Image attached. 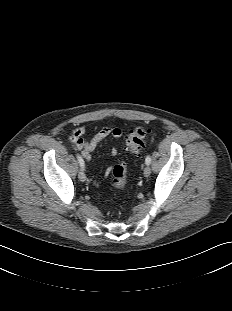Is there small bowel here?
I'll return each instance as SVG.
<instances>
[{
    "label": "small bowel",
    "instance_id": "small-bowel-1",
    "mask_svg": "<svg viewBox=\"0 0 232 311\" xmlns=\"http://www.w3.org/2000/svg\"><path fill=\"white\" fill-rule=\"evenodd\" d=\"M85 131L86 129L84 126L75 128L70 133L68 140L76 150L81 152L87 161L91 160V152L98 146L101 141H103L108 136H112L114 139H118L123 134L122 129L119 127L105 126L101 128L89 141H86L83 138ZM116 154L117 150L113 148L111 150V155L115 156Z\"/></svg>",
    "mask_w": 232,
    "mask_h": 311
}]
</instances>
